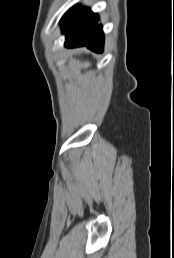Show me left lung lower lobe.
<instances>
[{
    "label": "left lung lower lobe",
    "instance_id": "left-lung-lower-lobe-1",
    "mask_svg": "<svg viewBox=\"0 0 174 258\" xmlns=\"http://www.w3.org/2000/svg\"><path fill=\"white\" fill-rule=\"evenodd\" d=\"M98 16L87 8L73 6L61 19L62 32L66 34V47L87 46L95 52L103 51L102 26Z\"/></svg>",
    "mask_w": 174,
    "mask_h": 258
}]
</instances>
